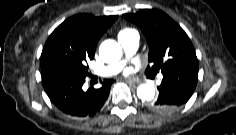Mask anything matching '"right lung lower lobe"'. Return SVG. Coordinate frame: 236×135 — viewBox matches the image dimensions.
<instances>
[{"mask_svg": "<svg viewBox=\"0 0 236 135\" xmlns=\"http://www.w3.org/2000/svg\"><path fill=\"white\" fill-rule=\"evenodd\" d=\"M87 75L64 72L42 73L44 89L52 103L72 117L93 116L108 98L113 79H106L99 89L82 86Z\"/></svg>", "mask_w": 236, "mask_h": 135, "instance_id": "obj_1", "label": "right lung lower lobe"}]
</instances>
